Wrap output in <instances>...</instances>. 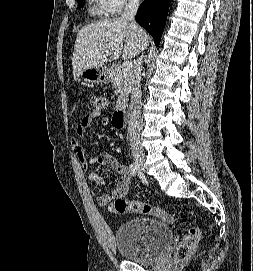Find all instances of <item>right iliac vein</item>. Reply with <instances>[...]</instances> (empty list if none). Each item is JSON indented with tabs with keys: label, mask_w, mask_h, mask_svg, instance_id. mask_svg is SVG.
<instances>
[{
	"label": "right iliac vein",
	"mask_w": 253,
	"mask_h": 271,
	"mask_svg": "<svg viewBox=\"0 0 253 271\" xmlns=\"http://www.w3.org/2000/svg\"><path fill=\"white\" fill-rule=\"evenodd\" d=\"M133 157L135 164L140 170H144V161H145V153L144 151H134L133 152Z\"/></svg>",
	"instance_id": "63e3f726"
}]
</instances>
